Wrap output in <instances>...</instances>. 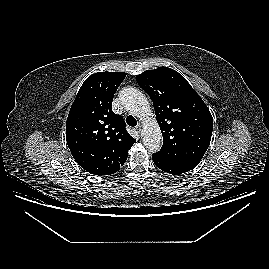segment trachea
Masks as SVG:
<instances>
[{
  "label": "trachea",
  "mask_w": 269,
  "mask_h": 269,
  "mask_svg": "<svg viewBox=\"0 0 269 269\" xmlns=\"http://www.w3.org/2000/svg\"><path fill=\"white\" fill-rule=\"evenodd\" d=\"M126 122L131 127H135L137 125V120L132 115H129L126 118Z\"/></svg>",
  "instance_id": "obj_1"
}]
</instances>
